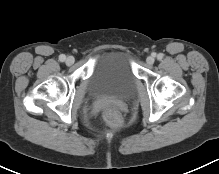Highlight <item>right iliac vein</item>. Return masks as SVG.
Segmentation results:
<instances>
[{
  "label": "right iliac vein",
  "mask_w": 219,
  "mask_h": 174,
  "mask_svg": "<svg viewBox=\"0 0 219 174\" xmlns=\"http://www.w3.org/2000/svg\"><path fill=\"white\" fill-rule=\"evenodd\" d=\"M66 64L67 65H72L73 63H74V57L73 56H68L67 58H66Z\"/></svg>",
  "instance_id": "63e3f726"
}]
</instances>
